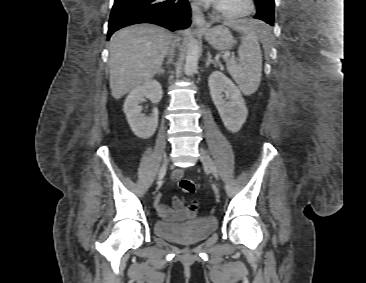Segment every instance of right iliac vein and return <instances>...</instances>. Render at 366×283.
Returning <instances> with one entry per match:
<instances>
[{
	"label": "right iliac vein",
	"instance_id": "63e3f726",
	"mask_svg": "<svg viewBox=\"0 0 366 283\" xmlns=\"http://www.w3.org/2000/svg\"><path fill=\"white\" fill-rule=\"evenodd\" d=\"M167 164H168V159L165 158L164 159V162H163V164H162V166H161V168L159 170V173H158L159 175H163L165 173L166 168H167Z\"/></svg>",
	"mask_w": 366,
	"mask_h": 283
}]
</instances>
